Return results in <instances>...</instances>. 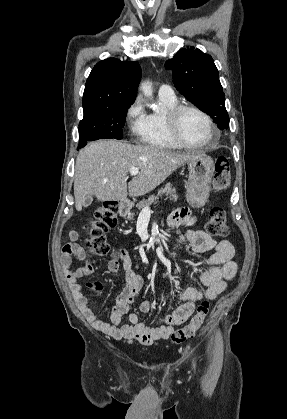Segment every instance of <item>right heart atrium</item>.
I'll return each mask as SVG.
<instances>
[{"label":"right heart atrium","mask_w":287,"mask_h":419,"mask_svg":"<svg viewBox=\"0 0 287 419\" xmlns=\"http://www.w3.org/2000/svg\"><path fill=\"white\" fill-rule=\"evenodd\" d=\"M147 113L140 98L129 106L126 111V122L131 135L141 137L146 127Z\"/></svg>","instance_id":"d8ad5b80"}]
</instances>
